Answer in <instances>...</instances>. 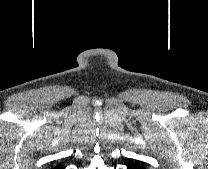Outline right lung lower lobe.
I'll list each match as a JSON object with an SVG mask.
<instances>
[{
	"mask_svg": "<svg viewBox=\"0 0 208 169\" xmlns=\"http://www.w3.org/2000/svg\"><path fill=\"white\" fill-rule=\"evenodd\" d=\"M55 169H64V167L62 165H58Z\"/></svg>",
	"mask_w": 208,
	"mask_h": 169,
	"instance_id": "1",
	"label": "right lung lower lobe"
}]
</instances>
